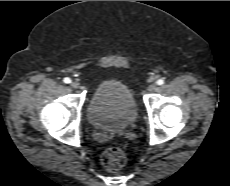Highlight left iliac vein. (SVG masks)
Returning <instances> with one entry per match:
<instances>
[{"label":"left iliac vein","instance_id":"4c4485c4","mask_svg":"<svg viewBox=\"0 0 230 186\" xmlns=\"http://www.w3.org/2000/svg\"><path fill=\"white\" fill-rule=\"evenodd\" d=\"M156 89H157V84H156V83H152V84H150L149 87H148V91H150V92H153V91H155Z\"/></svg>","mask_w":230,"mask_h":186}]
</instances>
